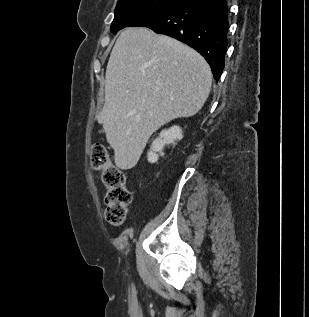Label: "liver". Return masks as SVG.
<instances>
[{
    "label": "liver",
    "instance_id": "liver-1",
    "mask_svg": "<svg viewBox=\"0 0 309 317\" xmlns=\"http://www.w3.org/2000/svg\"><path fill=\"white\" fill-rule=\"evenodd\" d=\"M211 85V69L194 49L144 27L123 30L109 57L97 116L115 164L134 167L156 130L201 110Z\"/></svg>",
    "mask_w": 309,
    "mask_h": 317
}]
</instances>
